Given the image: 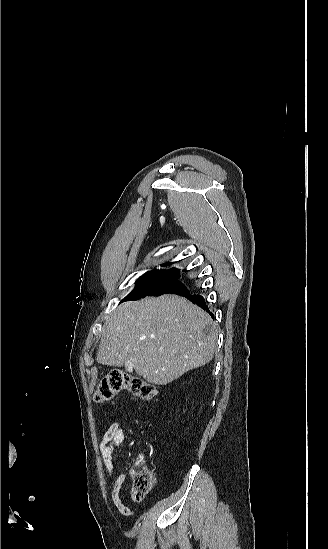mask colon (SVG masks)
<instances>
[{
  "label": "colon",
  "mask_w": 328,
  "mask_h": 549,
  "mask_svg": "<svg viewBox=\"0 0 328 549\" xmlns=\"http://www.w3.org/2000/svg\"><path fill=\"white\" fill-rule=\"evenodd\" d=\"M122 391H128L143 400H151L157 394L156 387L146 380L114 369L103 377L96 389L94 399L97 402H105ZM131 478L130 497L133 501H141L153 487L152 474L145 466L137 464L131 470Z\"/></svg>",
  "instance_id": "5ec220e1"
}]
</instances>
